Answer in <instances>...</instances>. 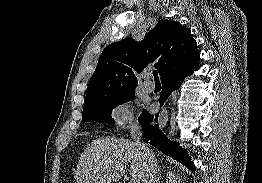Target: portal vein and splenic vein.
<instances>
[{
  "label": "portal vein and splenic vein",
  "instance_id": "portal-vein-and-splenic-vein-1",
  "mask_svg": "<svg viewBox=\"0 0 262 183\" xmlns=\"http://www.w3.org/2000/svg\"><path fill=\"white\" fill-rule=\"evenodd\" d=\"M131 183H139V180L137 177H132Z\"/></svg>",
  "mask_w": 262,
  "mask_h": 183
}]
</instances>
